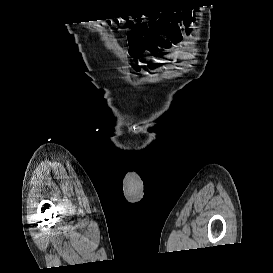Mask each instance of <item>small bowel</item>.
Segmentation results:
<instances>
[{
	"label": "small bowel",
	"mask_w": 273,
	"mask_h": 273,
	"mask_svg": "<svg viewBox=\"0 0 273 273\" xmlns=\"http://www.w3.org/2000/svg\"><path fill=\"white\" fill-rule=\"evenodd\" d=\"M195 22L192 13L170 14L147 22L149 35L138 43L129 40L128 50L131 57V67L134 73L140 74L144 65L140 61V56L145 52H150L155 56L180 60L177 57L175 47L182 40V30L190 34ZM159 64L150 62L147 68L150 72L155 71Z\"/></svg>",
	"instance_id": "1"
}]
</instances>
